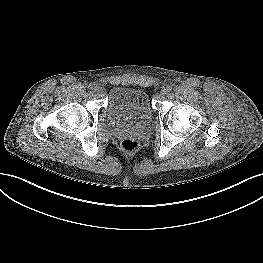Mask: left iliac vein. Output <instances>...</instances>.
Instances as JSON below:
<instances>
[{
	"label": "left iliac vein",
	"mask_w": 263,
	"mask_h": 263,
	"mask_svg": "<svg viewBox=\"0 0 263 263\" xmlns=\"http://www.w3.org/2000/svg\"><path fill=\"white\" fill-rule=\"evenodd\" d=\"M160 93L162 96H165L168 93V90L166 88H163Z\"/></svg>",
	"instance_id": "4c4485c4"
}]
</instances>
